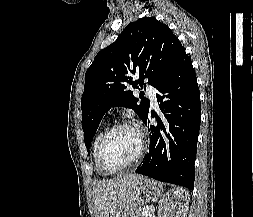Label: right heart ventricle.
I'll return each instance as SVG.
<instances>
[{
	"label": "right heart ventricle",
	"instance_id": "right-heart-ventricle-1",
	"mask_svg": "<svg viewBox=\"0 0 253 217\" xmlns=\"http://www.w3.org/2000/svg\"><path fill=\"white\" fill-rule=\"evenodd\" d=\"M103 132L99 133L98 136L96 137L94 143H93V158H94V162H95V166L97 168V163H96V149H97V145H98V142H99V139L101 138ZM97 171L102 174L98 168H97Z\"/></svg>",
	"mask_w": 253,
	"mask_h": 217
}]
</instances>
